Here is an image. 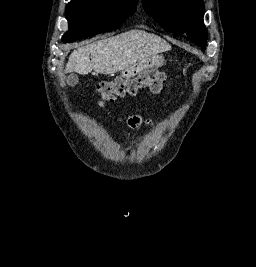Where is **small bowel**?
<instances>
[{"label":"small bowel","mask_w":256,"mask_h":267,"mask_svg":"<svg viewBox=\"0 0 256 267\" xmlns=\"http://www.w3.org/2000/svg\"><path fill=\"white\" fill-rule=\"evenodd\" d=\"M126 124L131 128H137L143 124H150L151 122L148 120H145L142 116L139 114L129 115L125 117Z\"/></svg>","instance_id":"c3829d8e"}]
</instances>
